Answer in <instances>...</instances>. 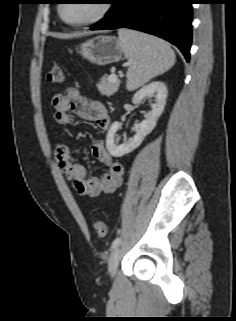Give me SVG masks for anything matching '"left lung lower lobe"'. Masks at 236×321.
I'll list each match as a JSON object with an SVG mask.
<instances>
[{"label":"left lung lower lobe","mask_w":236,"mask_h":321,"mask_svg":"<svg viewBox=\"0 0 236 321\" xmlns=\"http://www.w3.org/2000/svg\"><path fill=\"white\" fill-rule=\"evenodd\" d=\"M196 0H115L105 18L91 30L129 28L176 45L186 61L192 42V4Z\"/></svg>","instance_id":"obj_1"}]
</instances>
